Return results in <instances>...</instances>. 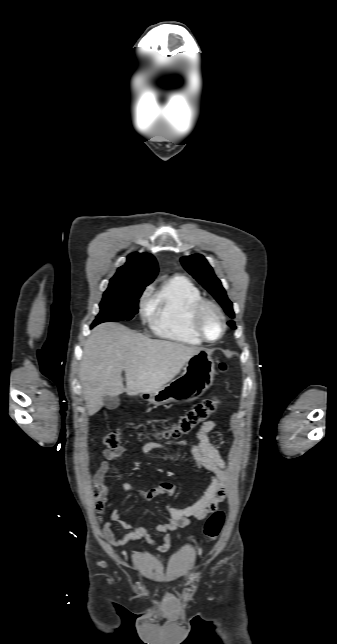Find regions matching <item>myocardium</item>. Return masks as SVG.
Here are the masks:
<instances>
[{
    "instance_id": "myocardium-1",
    "label": "myocardium",
    "mask_w": 337,
    "mask_h": 644,
    "mask_svg": "<svg viewBox=\"0 0 337 644\" xmlns=\"http://www.w3.org/2000/svg\"><path fill=\"white\" fill-rule=\"evenodd\" d=\"M212 309L214 310L220 319V334L216 339H209L206 337L202 330L201 322L204 313L206 310ZM191 327L195 334L203 341L206 343H215L219 341L225 334L226 331V317L225 314L222 310V308L213 300L209 299H200L194 306L192 310V315H191Z\"/></svg>"
}]
</instances>
